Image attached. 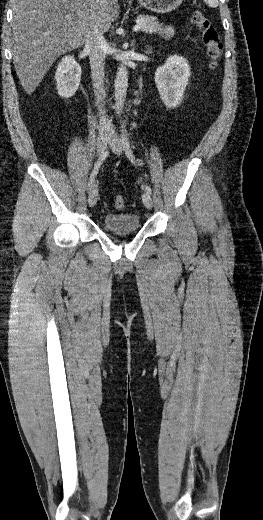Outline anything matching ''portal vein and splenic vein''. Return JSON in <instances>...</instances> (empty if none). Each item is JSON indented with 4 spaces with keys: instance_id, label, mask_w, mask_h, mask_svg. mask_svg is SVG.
<instances>
[{
    "instance_id": "portal-vein-and-splenic-vein-1",
    "label": "portal vein and splenic vein",
    "mask_w": 263,
    "mask_h": 520,
    "mask_svg": "<svg viewBox=\"0 0 263 520\" xmlns=\"http://www.w3.org/2000/svg\"><path fill=\"white\" fill-rule=\"evenodd\" d=\"M67 19H71V16H67ZM141 28V22H138L134 27H133V31H138L139 29Z\"/></svg>"
}]
</instances>
